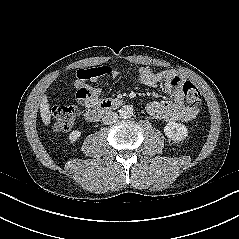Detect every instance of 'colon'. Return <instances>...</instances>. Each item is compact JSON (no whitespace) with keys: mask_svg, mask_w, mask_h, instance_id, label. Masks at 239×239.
Listing matches in <instances>:
<instances>
[{"mask_svg":"<svg viewBox=\"0 0 239 239\" xmlns=\"http://www.w3.org/2000/svg\"><path fill=\"white\" fill-rule=\"evenodd\" d=\"M105 71L101 69L93 70L89 76H97ZM182 91L186 100L191 105H199L201 103V92L198 87L191 81L182 83ZM77 116V110L74 106H60L53 111V126L58 132H65L72 128Z\"/></svg>","mask_w":239,"mask_h":239,"instance_id":"obj_1","label":"colon"}]
</instances>
